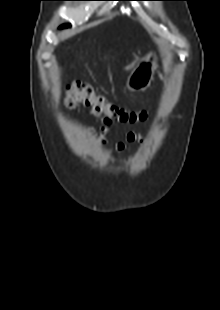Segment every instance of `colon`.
Wrapping results in <instances>:
<instances>
[{"instance_id": "1", "label": "colon", "mask_w": 220, "mask_h": 310, "mask_svg": "<svg viewBox=\"0 0 220 310\" xmlns=\"http://www.w3.org/2000/svg\"><path fill=\"white\" fill-rule=\"evenodd\" d=\"M65 104L68 109H73L77 104H83L90 107L92 111L103 116L104 123H128L144 120L147 116L144 111H128L122 109L104 96L97 94L93 87L82 82H73L65 89Z\"/></svg>"}]
</instances>
